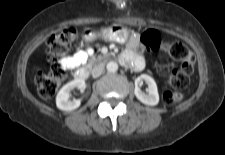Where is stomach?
I'll return each instance as SVG.
<instances>
[{"instance_id": "obj_1", "label": "stomach", "mask_w": 225, "mask_h": 155, "mask_svg": "<svg viewBox=\"0 0 225 155\" xmlns=\"http://www.w3.org/2000/svg\"><path fill=\"white\" fill-rule=\"evenodd\" d=\"M103 39L108 41H114L118 43H125L129 37V31L120 26V25H112L101 31L99 34ZM97 37L95 33H89L85 35L87 40H91Z\"/></svg>"}]
</instances>
